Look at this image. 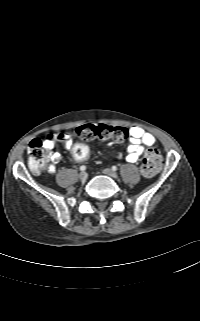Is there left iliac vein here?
I'll return each mask as SVG.
<instances>
[{
    "mask_svg": "<svg viewBox=\"0 0 200 321\" xmlns=\"http://www.w3.org/2000/svg\"><path fill=\"white\" fill-rule=\"evenodd\" d=\"M103 173L111 178H114V179L117 178V173L110 168L104 169Z\"/></svg>",
    "mask_w": 200,
    "mask_h": 321,
    "instance_id": "left-iliac-vein-1",
    "label": "left iliac vein"
}]
</instances>
